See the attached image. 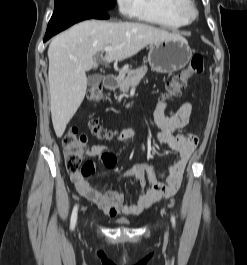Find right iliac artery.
<instances>
[{
	"instance_id": "right-iliac-artery-1",
	"label": "right iliac artery",
	"mask_w": 247,
	"mask_h": 265,
	"mask_svg": "<svg viewBox=\"0 0 247 265\" xmlns=\"http://www.w3.org/2000/svg\"><path fill=\"white\" fill-rule=\"evenodd\" d=\"M77 206L74 207L73 211H72V215H71V222H70V228L71 230H73L75 228L76 225V221H77Z\"/></svg>"
}]
</instances>
